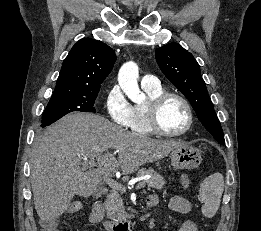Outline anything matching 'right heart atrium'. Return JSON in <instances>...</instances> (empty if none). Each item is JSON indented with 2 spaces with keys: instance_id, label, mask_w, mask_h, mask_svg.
<instances>
[{
  "instance_id": "obj_1",
  "label": "right heart atrium",
  "mask_w": 261,
  "mask_h": 231,
  "mask_svg": "<svg viewBox=\"0 0 261 231\" xmlns=\"http://www.w3.org/2000/svg\"><path fill=\"white\" fill-rule=\"evenodd\" d=\"M105 108L114 124L121 127H129L132 106L119 86H113L107 93Z\"/></svg>"
}]
</instances>
